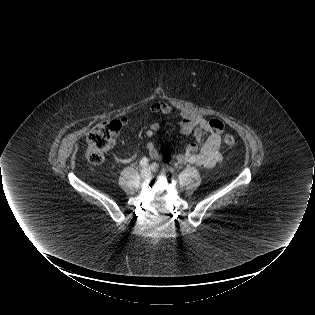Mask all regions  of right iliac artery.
I'll return each mask as SVG.
<instances>
[{"label": "right iliac artery", "mask_w": 315, "mask_h": 315, "mask_svg": "<svg viewBox=\"0 0 315 315\" xmlns=\"http://www.w3.org/2000/svg\"><path fill=\"white\" fill-rule=\"evenodd\" d=\"M147 164H148V158L147 157H143L140 160V166L145 167V166H147Z\"/></svg>", "instance_id": "1"}]
</instances>
